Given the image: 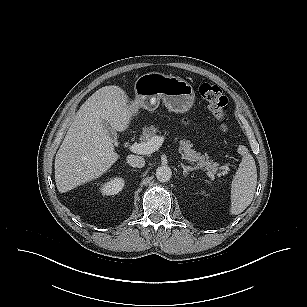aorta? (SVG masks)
Returning a JSON list of instances; mask_svg holds the SVG:
<instances>
[{
	"mask_svg": "<svg viewBox=\"0 0 307 307\" xmlns=\"http://www.w3.org/2000/svg\"><path fill=\"white\" fill-rule=\"evenodd\" d=\"M172 176V170L168 165L159 166L156 169V178L160 182H167Z\"/></svg>",
	"mask_w": 307,
	"mask_h": 307,
	"instance_id": "aorta-1",
	"label": "aorta"
}]
</instances>
